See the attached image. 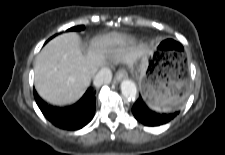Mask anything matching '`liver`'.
Wrapping results in <instances>:
<instances>
[{"label": "liver", "instance_id": "liver-1", "mask_svg": "<svg viewBox=\"0 0 225 155\" xmlns=\"http://www.w3.org/2000/svg\"><path fill=\"white\" fill-rule=\"evenodd\" d=\"M119 33H109L94 38L90 50L84 54L80 37L73 32L52 39L38 54L34 66L35 88L47 102L64 106L76 102L90 85L91 78L105 63L108 55L117 62L124 61L130 54L146 60L152 53L145 45L137 48L115 49L122 43Z\"/></svg>", "mask_w": 225, "mask_h": 155}]
</instances>
